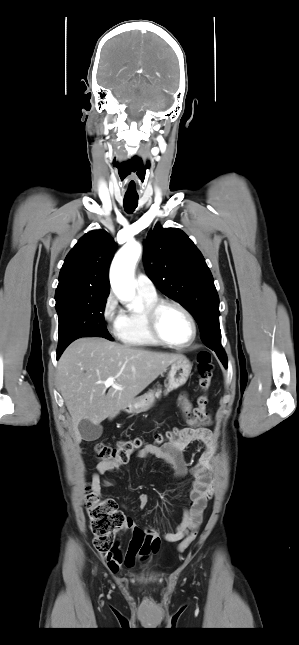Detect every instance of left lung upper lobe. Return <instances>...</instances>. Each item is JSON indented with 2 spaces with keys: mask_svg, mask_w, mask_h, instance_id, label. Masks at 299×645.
Returning <instances> with one entry per match:
<instances>
[{
  "mask_svg": "<svg viewBox=\"0 0 299 645\" xmlns=\"http://www.w3.org/2000/svg\"><path fill=\"white\" fill-rule=\"evenodd\" d=\"M143 260L151 281L193 315L205 345L227 365L221 346L219 297L213 276L192 240L178 228L156 225L145 240Z\"/></svg>",
  "mask_w": 299,
  "mask_h": 645,
  "instance_id": "left-lung-upper-lobe-1",
  "label": "left lung upper lobe"
}]
</instances>
